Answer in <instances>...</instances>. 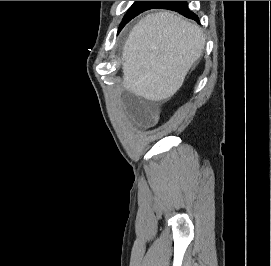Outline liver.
I'll return each mask as SVG.
<instances>
[{
  "label": "liver",
  "mask_w": 271,
  "mask_h": 266,
  "mask_svg": "<svg viewBox=\"0 0 271 266\" xmlns=\"http://www.w3.org/2000/svg\"><path fill=\"white\" fill-rule=\"evenodd\" d=\"M205 47L201 28L172 12L142 18L122 53V85L151 101L172 97Z\"/></svg>",
  "instance_id": "liver-1"
}]
</instances>
